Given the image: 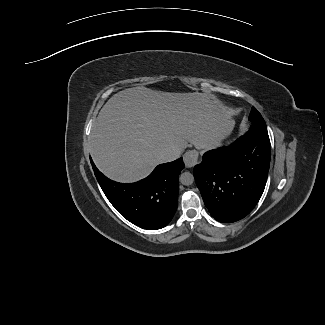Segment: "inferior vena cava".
I'll return each mask as SVG.
<instances>
[{
    "label": "inferior vena cava",
    "mask_w": 325,
    "mask_h": 325,
    "mask_svg": "<svg viewBox=\"0 0 325 325\" xmlns=\"http://www.w3.org/2000/svg\"><path fill=\"white\" fill-rule=\"evenodd\" d=\"M179 157L178 152L173 148H166L161 152V158L164 162L173 161Z\"/></svg>",
    "instance_id": "1"
}]
</instances>
